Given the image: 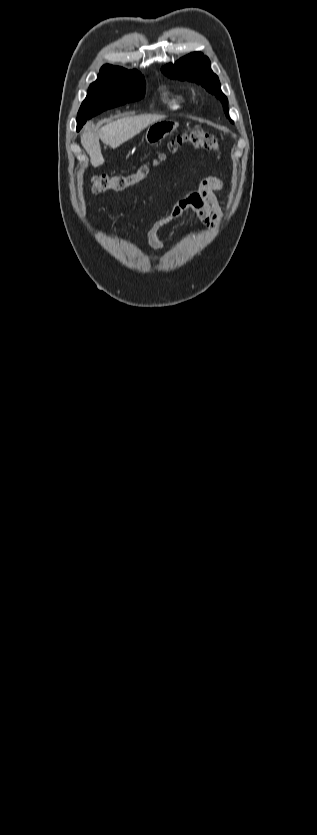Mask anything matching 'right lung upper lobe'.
Returning a JSON list of instances; mask_svg holds the SVG:
<instances>
[{
    "mask_svg": "<svg viewBox=\"0 0 317 835\" xmlns=\"http://www.w3.org/2000/svg\"><path fill=\"white\" fill-rule=\"evenodd\" d=\"M117 70H126V69H124L122 67H119V66H113V65L107 64V65H104L100 69V73H99L98 76L105 75V74H108L110 72H114V71H117ZM133 71H137V70H133Z\"/></svg>",
    "mask_w": 317,
    "mask_h": 835,
    "instance_id": "cb5924a9",
    "label": "right lung upper lobe"
}]
</instances>
